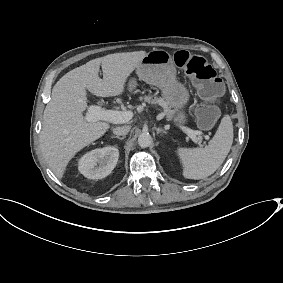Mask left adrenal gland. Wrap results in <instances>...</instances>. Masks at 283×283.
Wrapping results in <instances>:
<instances>
[{
  "instance_id": "1",
  "label": "left adrenal gland",
  "mask_w": 283,
  "mask_h": 283,
  "mask_svg": "<svg viewBox=\"0 0 283 283\" xmlns=\"http://www.w3.org/2000/svg\"><path fill=\"white\" fill-rule=\"evenodd\" d=\"M155 130L157 131V136H158L159 134L167 135V132L164 131V130H161V129H159V128H155Z\"/></svg>"
}]
</instances>
